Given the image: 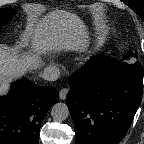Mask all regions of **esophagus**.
Returning <instances> with one entry per match:
<instances>
[{
	"mask_svg": "<svg viewBox=\"0 0 144 144\" xmlns=\"http://www.w3.org/2000/svg\"><path fill=\"white\" fill-rule=\"evenodd\" d=\"M68 93V88H63L60 90L59 97L61 100H65Z\"/></svg>",
	"mask_w": 144,
	"mask_h": 144,
	"instance_id": "1",
	"label": "esophagus"
}]
</instances>
